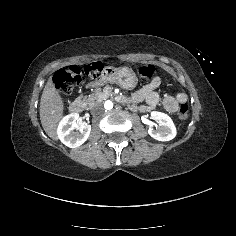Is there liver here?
Wrapping results in <instances>:
<instances>
[{
    "instance_id": "liver-1",
    "label": "liver",
    "mask_w": 236,
    "mask_h": 236,
    "mask_svg": "<svg viewBox=\"0 0 236 236\" xmlns=\"http://www.w3.org/2000/svg\"><path fill=\"white\" fill-rule=\"evenodd\" d=\"M63 109L62 98L50 77L41 96L40 120L44 131L53 140H58L57 127L63 117Z\"/></svg>"
}]
</instances>
